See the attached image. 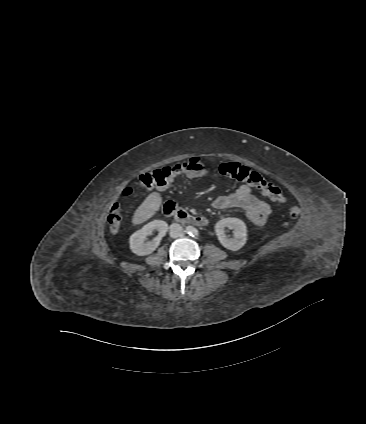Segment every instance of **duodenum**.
Segmentation results:
<instances>
[{"label":"duodenum","instance_id":"duodenum-1","mask_svg":"<svg viewBox=\"0 0 366 424\" xmlns=\"http://www.w3.org/2000/svg\"><path fill=\"white\" fill-rule=\"evenodd\" d=\"M163 210L166 216L172 217L180 223L192 224L200 227L208 225V220L205 217L190 215L171 201L164 205Z\"/></svg>","mask_w":366,"mask_h":424}]
</instances>
